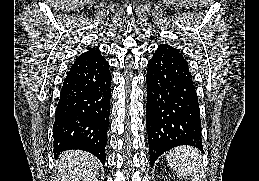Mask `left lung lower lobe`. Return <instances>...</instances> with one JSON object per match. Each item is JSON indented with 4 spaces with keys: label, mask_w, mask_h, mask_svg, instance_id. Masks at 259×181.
Segmentation results:
<instances>
[{
    "label": "left lung lower lobe",
    "mask_w": 259,
    "mask_h": 181,
    "mask_svg": "<svg viewBox=\"0 0 259 181\" xmlns=\"http://www.w3.org/2000/svg\"><path fill=\"white\" fill-rule=\"evenodd\" d=\"M146 125L150 164L166 151L191 145L203 151L196 90L178 49L159 45L148 62Z\"/></svg>",
    "instance_id": "left-lung-lower-lobe-1"
}]
</instances>
